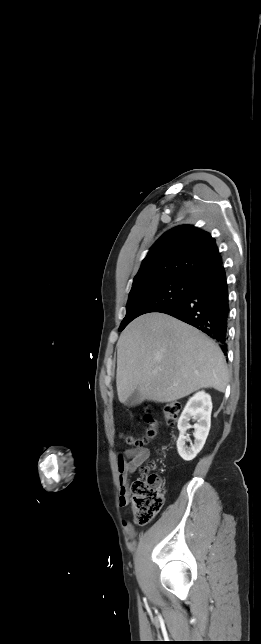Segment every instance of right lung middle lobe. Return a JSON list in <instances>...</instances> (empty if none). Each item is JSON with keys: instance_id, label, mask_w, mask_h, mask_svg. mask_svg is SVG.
I'll list each match as a JSON object with an SVG mask.
<instances>
[{"instance_id": "right-lung-middle-lobe-1", "label": "right lung middle lobe", "mask_w": 261, "mask_h": 644, "mask_svg": "<svg viewBox=\"0 0 261 644\" xmlns=\"http://www.w3.org/2000/svg\"><path fill=\"white\" fill-rule=\"evenodd\" d=\"M193 286V280L167 278L133 287L127 302V314L119 331L136 317L150 312H160L182 301Z\"/></svg>"}]
</instances>
